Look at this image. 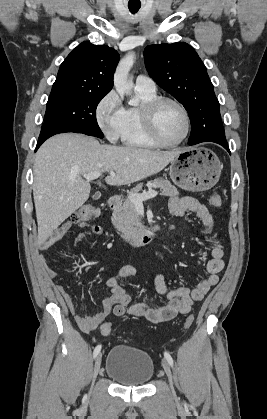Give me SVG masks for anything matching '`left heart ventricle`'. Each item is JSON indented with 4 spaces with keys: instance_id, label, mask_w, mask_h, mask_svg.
Wrapping results in <instances>:
<instances>
[{
    "instance_id": "obj_1",
    "label": "left heart ventricle",
    "mask_w": 267,
    "mask_h": 419,
    "mask_svg": "<svg viewBox=\"0 0 267 419\" xmlns=\"http://www.w3.org/2000/svg\"><path fill=\"white\" fill-rule=\"evenodd\" d=\"M156 126L161 138L168 142L179 140L185 130V121L180 109L172 103H164L156 115Z\"/></svg>"
}]
</instances>
